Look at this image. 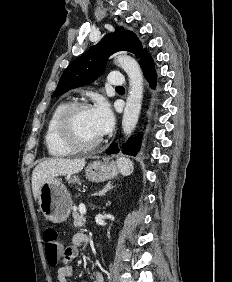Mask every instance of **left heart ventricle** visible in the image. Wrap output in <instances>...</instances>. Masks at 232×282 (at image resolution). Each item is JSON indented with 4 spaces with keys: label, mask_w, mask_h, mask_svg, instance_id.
Segmentation results:
<instances>
[{
    "label": "left heart ventricle",
    "mask_w": 232,
    "mask_h": 282,
    "mask_svg": "<svg viewBox=\"0 0 232 282\" xmlns=\"http://www.w3.org/2000/svg\"><path fill=\"white\" fill-rule=\"evenodd\" d=\"M76 137L85 143L93 142L101 137L93 121L91 109L80 110L73 119Z\"/></svg>",
    "instance_id": "obj_1"
}]
</instances>
